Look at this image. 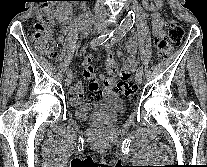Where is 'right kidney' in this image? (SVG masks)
<instances>
[{
  "mask_svg": "<svg viewBox=\"0 0 207 167\" xmlns=\"http://www.w3.org/2000/svg\"><path fill=\"white\" fill-rule=\"evenodd\" d=\"M66 14H68L66 2L61 1L57 5V8L55 10V15L57 18L62 19L65 17Z\"/></svg>",
  "mask_w": 207,
  "mask_h": 167,
  "instance_id": "ca27d5eb",
  "label": "right kidney"
}]
</instances>
